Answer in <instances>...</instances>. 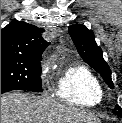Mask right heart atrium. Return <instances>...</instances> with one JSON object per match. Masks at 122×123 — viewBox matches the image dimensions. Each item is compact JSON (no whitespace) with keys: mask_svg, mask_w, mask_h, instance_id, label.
I'll use <instances>...</instances> for the list:
<instances>
[{"mask_svg":"<svg viewBox=\"0 0 122 123\" xmlns=\"http://www.w3.org/2000/svg\"><path fill=\"white\" fill-rule=\"evenodd\" d=\"M48 73H49V63L45 61L42 63L40 68V73H39L40 79L42 81H46Z\"/></svg>","mask_w":122,"mask_h":123,"instance_id":"right-heart-atrium-1","label":"right heart atrium"}]
</instances>
